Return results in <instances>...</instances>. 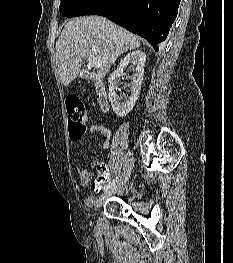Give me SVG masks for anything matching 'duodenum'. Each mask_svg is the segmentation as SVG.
Wrapping results in <instances>:
<instances>
[{
	"instance_id": "410a0bca",
	"label": "duodenum",
	"mask_w": 233,
	"mask_h": 263,
	"mask_svg": "<svg viewBox=\"0 0 233 263\" xmlns=\"http://www.w3.org/2000/svg\"><path fill=\"white\" fill-rule=\"evenodd\" d=\"M95 93L98 106L102 111H107L109 107L107 93L104 86L101 83L96 84Z\"/></svg>"
}]
</instances>
